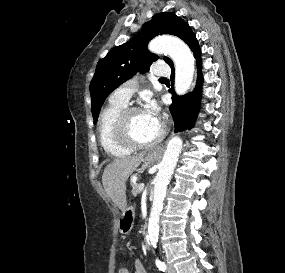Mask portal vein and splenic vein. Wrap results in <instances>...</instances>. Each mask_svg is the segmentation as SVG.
Masks as SVG:
<instances>
[{"label": "portal vein and splenic vein", "mask_w": 285, "mask_h": 273, "mask_svg": "<svg viewBox=\"0 0 285 273\" xmlns=\"http://www.w3.org/2000/svg\"><path fill=\"white\" fill-rule=\"evenodd\" d=\"M144 189V183H141L140 185H139V190H143Z\"/></svg>", "instance_id": "portal-vein-and-splenic-vein-1"}]
</instances>
